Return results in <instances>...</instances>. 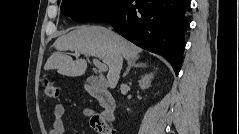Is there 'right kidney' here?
<instances>
[{"label": "right kidney", "mask_w": 239, "mask_h": 134, "mask_svg": "<svg viewBox=\"0 0 239 134\" xmlns=\"http://www.w3.org/2000/svg\"><path fill=\"white\" fill-rule=\"evenodd\" d=\"M153 79V74L144 75L139 81V86L142 90H145L150 87L151 80Z\"/></svg>", "instance_id": "right-kidney-1"}]
</instances>
